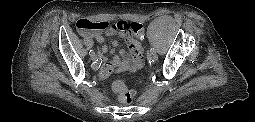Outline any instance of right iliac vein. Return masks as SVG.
Returning <instances> with one entry per match:
<instances>
[{
  "label": "right iliac vein",
  "instance_id": "1",
  "mask_svg": "<svg viewBox=\"0 0 255 122\" xmlns=\"http://www.w3.org/2000/svg\"><path fill=\"white\" fill-rule=\"evenodd\" d=\"M92 60L93 61H96L98 60V55L96 53H94L92 56H91Z\"/></svg>",
  "mask_w": 255,
  "mask_h": 122
}]
</instances>
